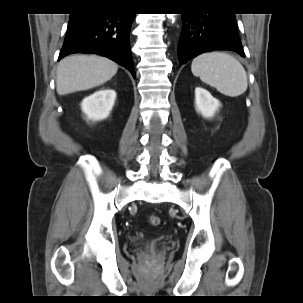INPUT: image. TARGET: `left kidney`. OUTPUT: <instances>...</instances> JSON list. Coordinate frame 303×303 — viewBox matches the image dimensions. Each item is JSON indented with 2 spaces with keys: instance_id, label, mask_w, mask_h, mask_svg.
<instances>
[{
  "instance_id": "1",
  "label": "left kidney",
  "mask_w": 303,
  "mask_h": 303,
  "mask_svg": "<svg viewBox=\"0 0 303 303\" xmlns=\"http://www.w3.org/2000/svg\"><path fill=\"white\" fill-rule=\"evenodd\" d=\"M196 110L204 118H212L219 110L221 103L214 98L206 89L202 87L195 88Z\"/></svg>"
}]
</instances>
